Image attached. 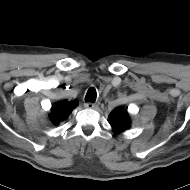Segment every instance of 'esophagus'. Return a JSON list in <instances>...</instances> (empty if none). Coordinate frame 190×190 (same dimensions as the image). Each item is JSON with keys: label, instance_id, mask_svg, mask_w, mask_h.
<instances>
[{"label": "esophagus", "instance_id": "obj_1", "mask_svg": "<svg viewBox=\"0 0 190 190\" xmlns=\"http://www.w3.org/2000/svg\"><path fill=\"white\" fill-rule=\"evenodd\" d=\"M85 107L88 109H97L98 105L95 103H92V102H87V103H85Z\"/></svg>", "mask_w": 190, "mask_h": 190}]
</instances>
